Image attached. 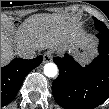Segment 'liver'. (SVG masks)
Listing matches in <instances>:
<instances>
[{"mask_svg":"<svg viewBox=\"0 0 109 109\" xmlns=\"http://www.w3.org/2000/svg\"><path fill=\"white\" fill-rule=\"evenodd\" d=\"M82 45L95 49L97 41L86 36L75 17L65 14H35L28 17L16 31L1 28V65L8 64L18 47L32 46L37 50L55 48L65 52Z\"/></svg>","mask_w":109,"mask_h":109,"instance_id":"liver-1","label":"liver"}]
</instances>
